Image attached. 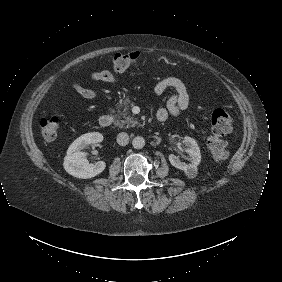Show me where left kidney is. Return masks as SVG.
Instances as JSON below:
<instances>
[{"label": "left kidney", "mask_w": 282, "mask_h": 282, "mask_svg": "<svg viewBox=\"0 0 282 282\" xmlns=\"http://www.w3.org/2000/svg\"><path fill=\"white\" fill-rule=\"evenodd\" d=\"M182 143L185 148V152L189 154L191 163L189 165H186L174 154L169 155V161L172 166L179 170H182L187 178L194 179L198 175L197 166L201 162L200 149L196 141L191 137L185 136Z\"/></svg>", "instance_id": "obj_1"}]
</instances>
